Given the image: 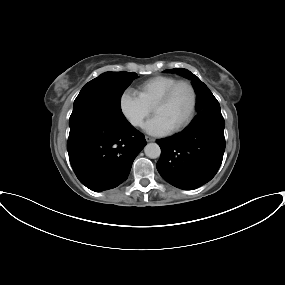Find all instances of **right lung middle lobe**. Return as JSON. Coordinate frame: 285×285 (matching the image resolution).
<instances>
[{
	"instance_id": "dd1d6c3e",
	"label": "right lung middle lobe",
	"mask_w": 285,
	"mask_h": 285,
	"mask_svg": "<svg viewBox=\"0 0 285 285\" xmlns=\"http://www.w3.org/2000/svg\"><path fill=\"white\" fill-rule=\"evenodd\" d=\"M136 77L132 72H106L88 82L74 101L69 126L91 116L127 121L121 112L120 99Z\"/></svg>"
}]
</instances>
